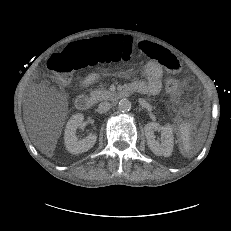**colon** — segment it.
Listing matches in <instances>:
<instances>
[{"mask_svg":"<svg viewBox=\"0 0 231 231\" xmlns=\"http://www.w3.org/2000/svg\"><path fill=\"white\" fill-rule=\"evenodd\" d=\"M134 57L132 39L129 36L112 35L69 45L63 53L50 59L49 69L58 76L59 83L65 86L69 84L71 74L78 68L103 62H128ZM165 88L169 93H177V79L168 77Z\"/></svg>","mask_w":231,"mask_h":231,"instance_id":"1","label":"colon"}]
</instances>
